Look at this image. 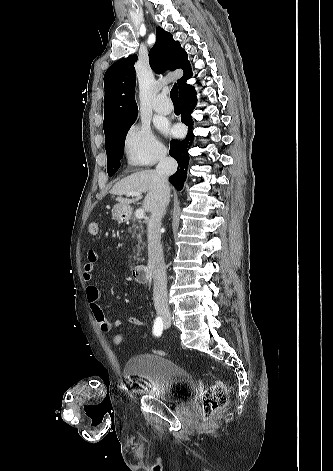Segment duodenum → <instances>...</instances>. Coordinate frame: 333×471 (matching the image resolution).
Segmentation results:
<instances>
[{
    "mask_svg": "<svg viewBox=\"0 0 333 471\" xmlns=\"http://www.w3.org/2000/svg\"><path fill=\"white\" fill-rule=\"evenodd\" d=\"M133 278L138 283H146L149 280L150 270L145 264L136 265L132 270Z\"/></svg>",
    "mask_w": 333,
    "mask_h": 471,
    "instance_id": "410a0bca",
    "label": "duodenum"
}]
</instances>
